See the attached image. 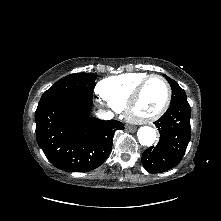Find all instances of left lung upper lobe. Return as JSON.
Listing matches in <instances>:
<instances>
[{
    "label": "left lung upper lobe",
    "instance_id": "5c2ea615",
    "mask_svg": "<svg viewBox=\"0 0 221 221\" xmlns=\"http://www.w3.org/2000/svg\"><path fill=\"white\" fill-rule=\"evenodd\" d=\"M165 78L168 80L171 89H172V98H171V104L175 102H183L187 101V96L185 91L178 85V83L168 76L164 75Z\"/></svg>",
    "mask_w": 221,
    "mask_h": 221
}]
</instances>
